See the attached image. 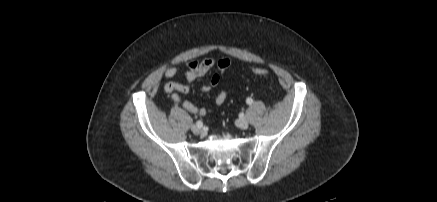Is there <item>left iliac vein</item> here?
<instances>
[{
    "label": "left iliac vein",
    "instance_id": "obj_1",
    "mask_svg": "<svg viewBox=\"0 0 437 202\" xmlns=\"http://www.w3.org/2000/svg\"><path fill=\"white\" fill-rule=\"evenodd\" d=\"M237 127L241 129H247L248 128V121L246 118H240L236 121Z\"/></svg>",
    "mask_w": 437,
    "mask_h": 202
}]
</instances>
